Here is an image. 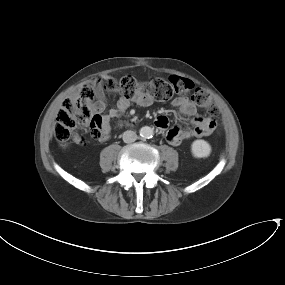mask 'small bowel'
Masks as SVG:
<instances>
[{"instance_id":"1","label":"small bowel","mask_w":285,"mask_h":285,"mask_svg":"<svg viewBox=\"0 0 285 285\" xmlns=\"http://www.w3.org/2000/svg\"><path fill=\"white\" fill-rule=\"evenodd\" d=\"M78 97L77 89H73L69 95L68 99H76ZM153 98L149 95L140 94L131 98H126L121 95L116 105L112 108H108L106 94L103 90L97 88L95 90V100L90 104L91 110L97 115L104 127V136L101 140H107L109 137V123L111 120L120 117L123 115L131 104H137L140 106H150L153 103ZM171 104L178 108L179 113L183 117H192L196 114V106L188 97H179L174 99ZM165 118L163 124H158L155 120V124L158 129L164 133V136L167 142L173 146L180 145L184 140L192 139L199 136H204L202 131L207 130V125L211 119H203L195 117L192 119V124L194 128L187 130H180L178 127H170L167 117ZM210 132L207 131L205 135H208ZM74 144L83 145L84 140L78 135H74L72 139Z\"/></svg>"}]
</instances>
